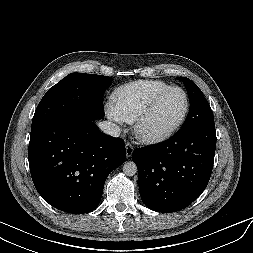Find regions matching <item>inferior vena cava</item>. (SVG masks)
I'll return each mask as SVG.
<instances>
[{"label": "inferior vena cava", "instance_id": "inferior-vena-cava-1", "mask_svg": "<svg viewBox=\"0 0 253 253\" xmlns=\"http://www.w3.org/2000/svg\"><path fill=\"white\" fill-rule=\"evenodd\" d=\"M98 126L100 130L107 135H110L113 137L120 136L121 130L119 126L116 125L115 123H112L110 121H103V122H100Z\"/></svg>", "mask_w": 253, "mask_h": 253}]
</instances>
